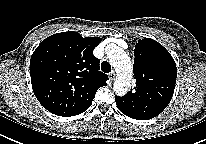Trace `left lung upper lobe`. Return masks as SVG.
<instances>
[{
  "label": "left lung upper lobe",
  "instance_id": "left-lung-upper-lobe-1",
  "mask_svg": "<svg viewBox=\"0 0 206 144\" xmlns=\"http://www.w3.org/2000/svg\"><path fill=\"white\" fill-rule=\"evenodd\" d=\"M133 65L136 87L123 97L131 117L141 115L144 101L164 110L169 104L176 84V63L169 52L157 41L144 38L138 41ZM159 112V111H158Z\"/></svg>",
  "mask_w": 206,
  "mask_h": 144
}]
</instances>
